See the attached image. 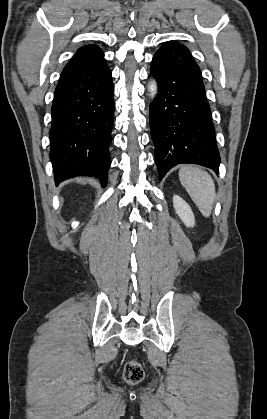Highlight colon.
Masks as SVG:
<instances>
[{
    "instance_id": "obj_1",
    "label": "colon",
    "mask_w": 267,
    "mask_h": 419,
    "mask_svg": "<svg viewBox=\"0 0 267 419\" xmlns=\"http://www.w3.org/2000/svg\"><path fill=\"white\" fill-rule=\"evenodd\" d=\"M123 377L129 384H138L144 378L143 367L139 362L130 360L124 366Z\"/></svg>"
}]
</instances>
